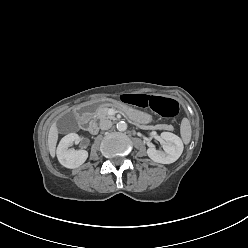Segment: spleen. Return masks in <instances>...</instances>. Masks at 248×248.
<instances>
[{
  "label": "spleen",
  "mask_w": 248,
  "mask_h": 248,
  "mask_svg": "<svg viewBox=\"0 0 248 248\" xmlns=\"http://www.w3.org/2000/svg\"><path fill=\"white\" fill-rule=\"evenodd\" d=\"M180 134L183 142L185 144H189L191 140L192 130H191L190 121L187 118H184L181 122Z\"/></svg>",
  "instance_id": "1"
}]
</instances>
